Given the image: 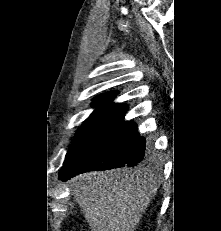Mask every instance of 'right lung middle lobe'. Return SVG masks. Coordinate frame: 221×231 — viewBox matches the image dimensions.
Wrapping results in <instances>:
<instances>
[{
  "label": "right lung middle lobe",
  "mask_w": 221,
  "mask_h": 231,
  "mask_svg": "<svg viewBox=\"0 0 221 231\" xmlns=\"http://www.w3.org/2000/svg\"><path fill=\"white\" fill-rule=\"evenodd\" d=\"M112 99H94L95 111L88 117L75 135L63 166L70 165L84 150L91 146L103 130L128 107L115 104Z\"/></svg>",
  "instance_id": "dd1d6c3e"
}]
</instances>
